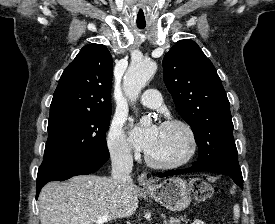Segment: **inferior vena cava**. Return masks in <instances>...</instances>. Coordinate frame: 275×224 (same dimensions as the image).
<instances>
[{
	"label": "inferior vena cava",
	"instance_id": "inferior-vena-cava-1",
	"mask_svg": "<svg viewBox=\"0 0 275 224\" xmlns=\"http://www.w3.org/2000/svg\"><path fill=\"white\" fill-rule=\"evenodd\" d=\"M110 155L112 161V177L119 190L124 192L133 182L130 175L133 167L132 155L128 148L112 150Z\"/></svg>",
	"mask_w": 275,
	"mask_h": 224
}]
</instances>
